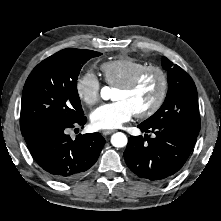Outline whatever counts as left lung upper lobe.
<instances>
[{
    "instance_id": "5c2ea615",
    "label": "left lung upper lobe",
    "mask_w": 221,
    "mask_h": 221,
    "mask_svg": "<svg viewBox=\"0 0 221 221\" xmlns=\"http://www.w3.org/2000/svg\"><path fill=\"white\" fill-rule=\"evenodd\" d=\"M162 66L167 70L168 93L160 109L143 123L148 126L176 127L183 133L197 137L200 130L198 95L192 78L166 57Z\"/></svg>"
}]
</instances>
